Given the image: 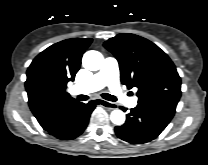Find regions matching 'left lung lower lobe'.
Segmentation results:
<instances>
[{
	"instance_id": "left-lung-lower-lobe-1",
	"label": "left lung lower lobe",
	"mask_w": 208,
	"mask_h": 165,
	"mask_svg": "<svg viewBox=\"0 0 208 165\" xmlns=\"http://www.w3.org/2000/svg\"><path fill=\"white\" fill-rule=\"evenodd\" d=\"M121 109L126 111L123 107ZM175 110L176 106L167 104L137 105L127 115L126 122L115 127V133L131 144L147 143L165 129Z\"/></svg>"
}]
</instances>
